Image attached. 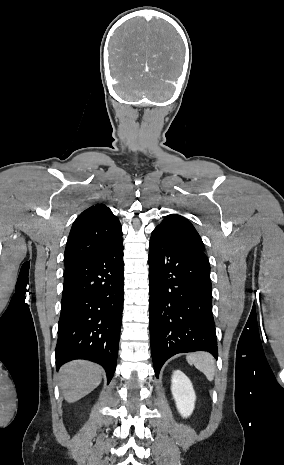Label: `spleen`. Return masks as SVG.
Segmentation results:
<instances>
[{"instance_id":"obj_1","label":"spleen","mask_w":284,"mask_h":465,"mask_svg":"<svg viewBox=\"0 0 284 465\" xmlns=\"http://www.w3.org/2000/svg\"><path fill=\"white\" fill-rule=\"evenodd\" d=\"M189 365H194L198 371L206 375L208 381L215 377V361L209 353H192L186 357Z\"/></svg>"}]
</instances>
